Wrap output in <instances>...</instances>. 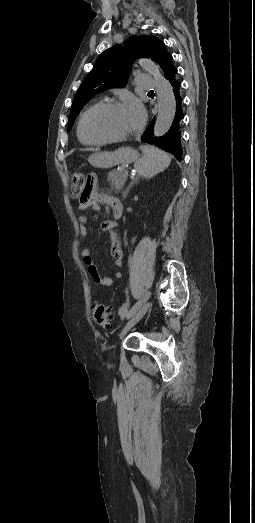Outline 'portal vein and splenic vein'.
I'll list each match as a JSON object with an SVG mask.
<instances>
[{"label":"portal vein and splenic vein","mask_w":255,"mask_h":523,"mask_svg":"<svg viewBox=\"0 0 255 523\" xmlns=\"http://www.w3.org/2000/svg\"><path fill=\"white\" fill-rule=\"evenodd\" d=\"M124 173H125V175H130V170H129V168H124Z\"/></svg>","instance_id":"obj_1"}]
</instances>
